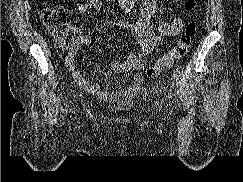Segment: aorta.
I'll return each instance as SVG.
<instances>
[{
    "instance_id": "1",
    "label": "aorta",
    "mask_w": 243,
    "mask_h": 182,
    "mask_svg": "<svg viewBox=\"0 0 243 182\" xmlns=\"http://www.w3.org/2000/svg\"><path fill=\"white\" fill-rule=\"evenodd\" d=\"M135 0H118L120 7L126 12L130 13L133 9Z\"/></svg>"
}]
</instances>
